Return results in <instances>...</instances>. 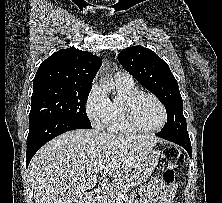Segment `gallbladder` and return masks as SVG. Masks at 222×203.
Wrapping results in <instances>:
<instances>
[{"label": "gallbladder", "instance_id": "bac80fb5", "mask_svg": "<svg viewBox=\"0 0 222 203\" xmlns=\"http://www.w3.org/2000/svg\"><path fill=\"white\" fill-rule=\"evenodd\" d=\"M84 203H88V200H87V198L85 199Z\"/></svg>", "mask_w": 222, "mask_h": 203}]
</instances>
